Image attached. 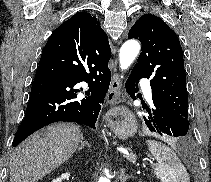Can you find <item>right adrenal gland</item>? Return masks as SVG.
I'll use <instances>...</instances> for the list:
<instances>
[{"label":"right adrenal gland","mask_w":211,"mask_h":182,"mask_svg":"<svg viewBox=\"0 0 211 182\" xmlns=\"http://www.w3.org/2000/svg\"><path fill=\"white\" fill-rule=\"evenodd\" d=\"M85 146L90 147V144H89L87 141L83 140V141H81V144H80V146L77 148V150H78V151H81Z\"/></svg>","instance_id":"1"}]
</instances>
